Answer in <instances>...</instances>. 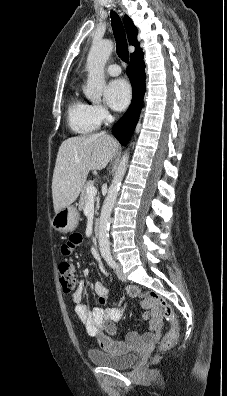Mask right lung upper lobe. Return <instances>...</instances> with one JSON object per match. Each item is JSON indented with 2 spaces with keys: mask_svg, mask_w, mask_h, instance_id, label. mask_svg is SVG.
<instances>
[{
  "mask_svg": "<svg viewBox=\"0 0 227 396\" xmlns=\"http://www.w3.org/2000/svg\"><path fill=\"white\" fill-rule=\"evenodd\" d=\"M124 25L128 34L129 43L135 46V51L138 50L140 45L137 41V28L128 16L124 17Z\"/></svg>",
  "mask_w": 227,
  "mask_h": 396,
  "instance_id": "cb5924a9",
  "label": "right lung upper lobe"
}]
</instances>
